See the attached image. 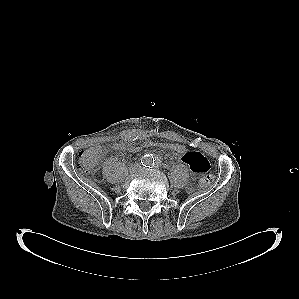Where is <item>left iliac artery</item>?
I'll use <instances>...</instances> for the list:
<instances>
[{
    "label": "left iliac artery",
    "mask_w": 299,
    "mask_h": 299,
    "mask_svg": "<svg viewBox=\"0 0 299 299\" xmlns=\"http://www.w3.org/2000/svg\"><path fill=\"white\" fill-rule=\"evenodd\" d=\"M153 164H155L156 166H158L159 165V160H156L155 163H153Z\"/></svg>",
    "instance_id": "1"
}]
</instances>
